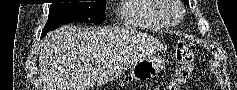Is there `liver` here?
Instances as JSON below:
<instances>
[{"label":"liver","mask_w":237,"mask_h":90,"mask_svg":"<svg viewBox=\"0 0 237 90\" xmlns=\"http://www.w3.org/2000/svg\"><path fill=\"white\" fill-rule=\"evenodd\" d=\"M119 38L115 28L62 26L42 42L40 68L44 90H88L103 76H114ZM93 64H96L93 68Z\"/></svg>","instance_id":"liver-1"}]
</instances>
